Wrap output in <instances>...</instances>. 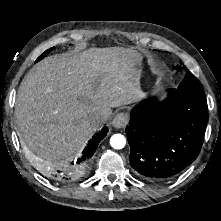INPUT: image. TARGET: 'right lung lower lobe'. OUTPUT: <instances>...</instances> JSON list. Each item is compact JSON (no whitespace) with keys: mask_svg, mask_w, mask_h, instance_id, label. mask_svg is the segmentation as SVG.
Returning a JSON list of instances; mask_svg holds the SVG:
<instances>
[{"mask_svg":"<svg viewBox=\"0 0 221 221\" xmlns=\"http://www.w3.org/2000/svg\"><path fill=\"white\" fill-rule=\"evenodd\" d=\"M108 128L104 126L101 131L96 133L88 141V145L82 152V155L64 165H41V172L47 177L58 182H71L81 178L87 171L90 159L96 151L99 142L107 135Z\"/></svg>","mask_w":221,"mask_h":221,"instance_id":"right-lung-lower-lobe-1","label":"right lung lower lobe"}]
</instances>
